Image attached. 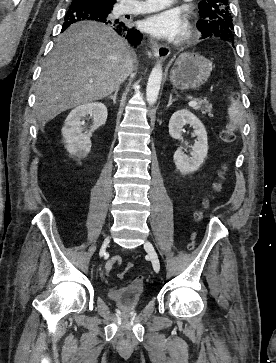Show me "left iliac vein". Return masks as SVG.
I'll list each match as a JSON object with an SVG mask.
<instances>
[{
    "instance_id": "4c4485c4",
    "label": "left iliac vein",
    "mask_w": 276,
    "mask_h": 363,
    "mask_svg": "<svg viewBox=\"0 0 276 363\" xmlns=\"http://www.w3.org/2000/svg\"><path fill=\"white\" fill-rule=\"evenodd\" d=\"M144 248H145V250L147 251V253H148L149 257H150V260L152 262L154 270L156 272H159V270H160V261H159L158 255H157L153 245L149 241H146L145 244H144Z\"/></svg>"
}]
</instances>
